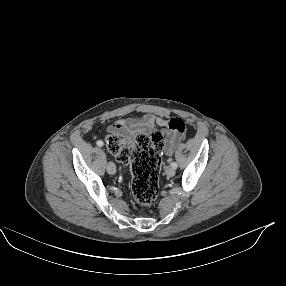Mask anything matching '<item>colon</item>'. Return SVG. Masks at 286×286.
Returning a JSON list of instances; mask_svg holds the SVG:
<instances>
[{"label":"colon","instance_id":"1","mask_svg":"<svg viewBox=\"0 0 286 286\" xmlns=\"http://www.w3.org/2000/svg\"><path fill=\"white\" fill-rule=\"evenodd\" d=\"M177 124L184 132V122L179 120ZM163 140L160 132H155L151 137L138 135L134 141L118 135H110L106 139L107 150L118 161L131 165V192L136 202L143 206H151L158 196L159 153L163 148Z\"/></svg>","mask_w":286,"mask_h":286}]
</instances>
